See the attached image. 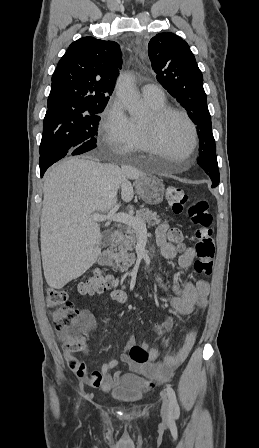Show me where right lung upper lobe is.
<instances>
[{
  "mask_svg": "<svg viewBox=\"0 0 259 448\" xmlns=\"http://www.w3.org/2000/svg\"><path fill=\"white\" fill-rule=\"evenodd\" d=\"M119 45L94 37L73 42L52 76L47 113L67 114L106 106L121 69Z\"/></svg>",
  "mask_w": 259,
  "mask_h": 448,
  "instance_id": "1",
  "label": "right lung upper lobe"
}]
</instances>
